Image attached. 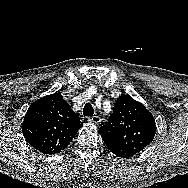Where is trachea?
I'll return each instance as SVG.
<instances>
[{
    "instance_id": "trachea-1",
    "label": "trachea",
    "mask_w": 188,
    "mask_h": 188,
    "mask_svg": "<svg viewBox=\"0 0 188 188\" xmlns=\"http://www.w3.org/2000/svg\"><path fill=\"white\" fill-rule=\"evenodd\" d=\"M94 109L90 103H86L83 108V115L84 116H93Z\"/></svg>"
}]
</instances>
